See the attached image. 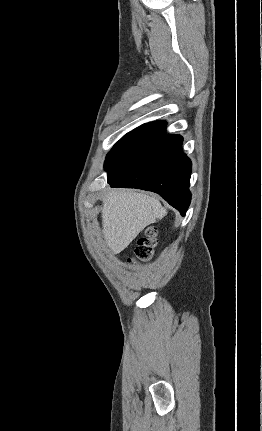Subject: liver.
Returning <instances> with one entry per match:
<instances>
[{"instance_id": "6515ba94", "label": "liver", "mask_w": 262, "mask_h": 431, "mask_svg": "<svg viewBox=\"0 0 262 431\" xmlns=\"http://www.w3.org/2000/svg\"><path fill=\"white\" fill-rule=\"evenodd\" d=\"M166 215V208L155 197L131 190H110L101 208L105 243L114 254H118L146 226Z\"/></svg>"}]
</instances>
